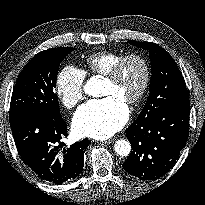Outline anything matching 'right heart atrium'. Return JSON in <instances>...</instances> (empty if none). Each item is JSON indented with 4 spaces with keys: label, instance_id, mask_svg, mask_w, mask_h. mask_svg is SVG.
<instances>
[{
    "label": "right heart atrium",
    "instance_id": "d8ad5b80",
    "mask_svg": "<svg viewBox=\"0 0 205 205\" xmlns=\"http://www.w3.org/2000/svg\"><path fill=\"white\" fill-rule=\"evenodd\" d=\"M85 74L73 65L65 66L57 75L55 93L62 105L68 109L83 98Z\"/></svg>",
    "mask_w": 205,
    "mask_h": 205
}]
</instances>
